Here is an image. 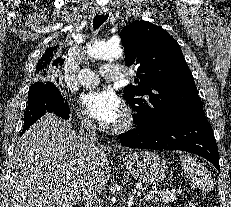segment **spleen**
<instances>
[{
	"mask_svg": "<svg viewBox=\"0 0 231 207\" xmlns=\"http://www.w3.org/2000/svg\"><path fill=\"white\" fill-rule=\"evenodd\" d=\"M181 166L186 177L199 188L210 190L214 186L207 169L191 156L183 155L181 157Z\"/></svg>",
	"mask_w": 231,
	"mask_h": 207,
	"instance_id": "1",
	"label": "spleen"
}]
</instances>
